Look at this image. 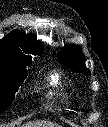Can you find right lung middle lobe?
Instances as JSON below:
<instances>
[{
	"instance_id": "obj_1",
	"label": "right lung middle lobe",
	"mask_w": 108,
	"mask_h": 127,
	"mask_svg": "<svg viewBox=\"0 0 108 127\" xmlns=\"http://www.w3.org/2000/svg\"><path fill=\"white\" fill-rule=\"evenodd\" d=\"M27 67L13 61L0 62V113L15 99V93L27 77Z\"/></svg>"
}]
</instances>
